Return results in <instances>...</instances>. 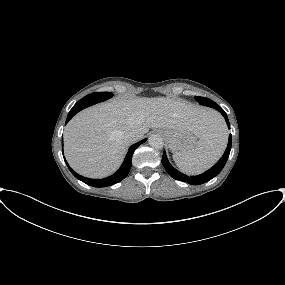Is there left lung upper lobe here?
Masks as SVG:
<instances>
[{
  "mask_svg": "<svg viewBox=\"0 0 285 285\" xmlns=\"http://www.w3.org/2000/svg\"><path fill=\"white\" fill-rule=\"evenodd\" d=\"M195 99L199 102V104H201L203 106L211 107L214 109H216L218 107V105L214 101H212L211 99L199 97V96H195Z\"/></svg>",
  "mask_w": 285,
  "mask_h": 285,
  "instance_id": "1",
  "label": "left lung upper lobe"
}]
</instances>
